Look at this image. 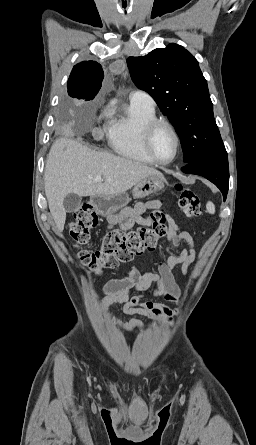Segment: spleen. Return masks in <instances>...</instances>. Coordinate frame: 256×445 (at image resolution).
Here are the masks:
<instances>
[{
  "instance_id": "1",
  "label": "spleen",
  "mask_w": 256,
  "mask_h": 445,
  "mask_svg": "<svg viewBox=\"0 0 256 445\" xmlns=\"http://www.w3.org/2000/svg\"><path fill=\"white\" fill-rule=\"evenodd\" d=\"M206 209L210 214H214L215 213V206L212 202H207L206 204Z\"/></svg>"
}]
</instances>
